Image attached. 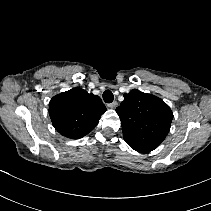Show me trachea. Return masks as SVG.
Here are the masks:
<instances>
[{"label": "trachea", "instance_id": "obj_1", "mask_svg": "<svg viewBox=\"0 0 211 211\" xmlns=\"http://www.w3.org/2000/svg\"><path fill=\"white\" fill-rule=\"evenodd\" d=\"M103 100H104L106 103H112L113 100H114L113 93H112L110 90L104 91V93H103Z\"/></svg>", "mask_w": 211, "mask_h": 211}]
</instances>
